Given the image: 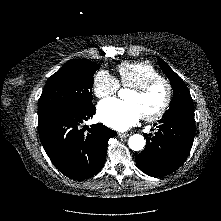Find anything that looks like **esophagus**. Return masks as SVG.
Instances as JSON below:
<instances>
[{
	"label": "esophagus",
	"mask_w": 221,
	"mask_h": 221,
	"mask_svg": "<svg viewBox=\"0 0 221 221\" xmlns=\"http://www.w3.org/2000/svg\"><path fill=\"white\" fill-rule=\"evenodd\" d=\"M128 136H129V133H118V137H120V138H125Z\"/></svg>",
	"instance_id": "34e87169"
}]
</instances>
